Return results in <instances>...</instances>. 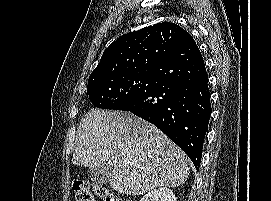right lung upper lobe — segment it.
Segmentation results:
<instances>
[{
  "label": "right lung upper lobe",
  "mask_w": 271,
  "mask_h": 201,
  "mask_svg": "<svg viewBox=\"0 0 271 201\" xmlns=\"http://www.w3.org/2000/svg\"><path fill=\"white\" fill-rule=\"evenodd\" d=\"M188 35L180 26L170 22L122 35L104 51L89 78L124 72H153Z\"/></svg>",
  "instance_id": "right-lung-upper-lobe-1"
}]
</instances>
